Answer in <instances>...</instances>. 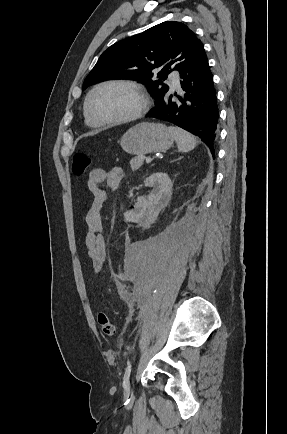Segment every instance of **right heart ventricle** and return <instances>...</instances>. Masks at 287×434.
<instances>
[{
  "instance_id": "obj_1",
  "label": "right heart ventricle",
  "mask_w": 287,
  "mask_h": 434,
  "mask_svg": "<svg viewBox=\"0 0 287 434\" xmlns=\"http://www.w3.org/2000/svg\"><path fill=\"white\" fill-rule=\"evenodd\" d=\"M85 122H86V124H88V125H90V126H95V124H93V123L88 119V117L86 116V114H85Z\"/></svg>"
}]
</instances>
